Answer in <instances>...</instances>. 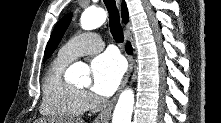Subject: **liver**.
Masks as SVG:
<instances>
[{"instance_id": "6515ba94", "label": "liver", "mask_w": 221, "mask_h": 123, "mask_svg": "<svg viewBox=\"0 0 221 123\" xmlns=\"http://www.w3.org/2000/svg\"><path fill=\"white\" fill-rule=\"evenodd\" d=\"M67 121H68V123H84V121L81 120V119H76V120H74V119H69V120H67ZM35 123H46V120H44V119L37 120Z\"/></svg>"}]
</instances>
